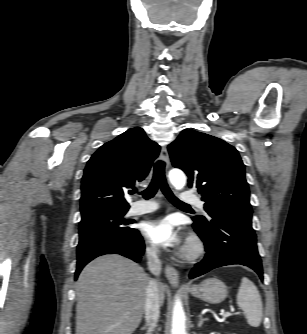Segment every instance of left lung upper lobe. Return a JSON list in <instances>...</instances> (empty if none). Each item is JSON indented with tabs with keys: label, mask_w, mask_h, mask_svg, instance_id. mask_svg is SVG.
Wrapping results in <instances>:
<instances>
[{
	"label": "left lung upper lobe",
	"mask_w": 307,
	"mask_h": 334,
	"mask_svg": "<svg viewBox=\"0 0 307 334\" xmlns=\"http://www.w3.org/2000/svg\"><path fill=\"white\" fill-rule=\"evenodd\" d=\"M168 151L173 166L189 177V187L202 195L211 218L221 214L252 218L245 166L233 146L205 133L184 130ZM193 220L209 223L202 216Z\"/></svg>",
	"instance_id": "5c2ea615"
}]
</instances>
